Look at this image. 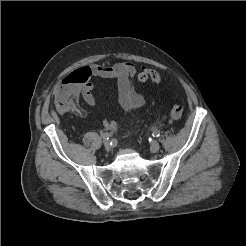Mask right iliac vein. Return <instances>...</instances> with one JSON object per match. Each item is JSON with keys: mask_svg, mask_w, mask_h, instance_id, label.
Returning <instances> with one entry per match:
<instances>
[{"mask_svg": "<svg viewBox=\"0 0 246 246\" xmlns=\"http://www.w3.org/2000/svg\"><path fill=\"white\" fill-rule=\"evenodd\" d=\"M103 144H104V147H105L106 150H110L111 149L110 140L104 139Z\"/></svg>", "mask_w": 246, "mask_h": 246, "instance_id": "63e3f726", "label": "right iliac vein"}]
</instances>
